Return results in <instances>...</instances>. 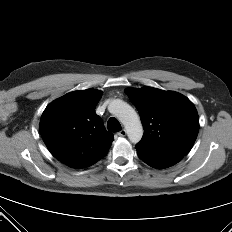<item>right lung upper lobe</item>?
I'll list each match as a JSON object with an SVG mask.
<instances>
[{"instance_id": "obj_1", "label": "right lung upper lobe", "mask_w": 232, "mask_h": 232, "mask_svg": "<svg viewBox=\"0 0 232 232\" xmlns=\"http://www.w3.org/2000/svg\"><path fill=\"white\" fill-rule=\"evenodd\" d=\"M101 96V91L93 89L70 92L54 100L41 116L40 132L47 148L69 167L93 165L114 140L95 113Z\"/></svg>"}]
</instances>
